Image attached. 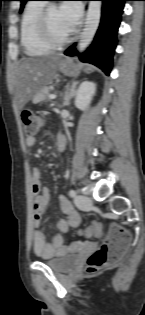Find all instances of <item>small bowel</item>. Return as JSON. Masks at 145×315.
<instances>
[{
    "label": "small bowel",
    "instance_id": "c3829d8e",
    "mask_svg": "<svg viewBox=\"0 0 145 315\" xmlns=\"http://www.w3.org/2000/svg\"><path fill=\"white\" fill-rule=\"evenodd\" d=\"M36 136L32 135L26 138L25 144L27 147H32L36 143ZM58 141H64V136L59 135ZM41 174L38 168H33L31 171V189L34 194V215L33 226L34 231L32 233V245L34 253L41 258H48L51 256H61L67 252V248L64 244V239L61 234H55L52 236L49 242L46 241L44 234L38 229L41 224V218L48 206L51 192L48 188L41 185ZM59 207L65 214L66 219L57 218L54 220L56 228L65 233L69 228H76L80 224V217L70 202L64 197L60 196Z\"/></svg>",
    "mask_w": 145,
    "mask_h": 315
}]
</instances>
